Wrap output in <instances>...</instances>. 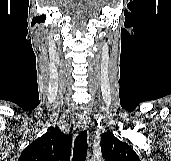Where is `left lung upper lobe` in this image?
Segmentation results:
<instances>
[{
	"instance_id": "left-lung-upper-lobe-1",
	"label": "left lung upper lobe",
	"mask_w": 171,
	"mask_h": 161,
	"mask_svg": "<svg viewBox=\"0 0 171 161\" xmlns=\"http://www.w3.org/2000/svg\"><path fill=\"white\" fill-rule=\"evenodd\" d=\"M100 144L105 161H140L135 151L127 143L118 140L112 132L104 133Z\"/></svg>"
}]
</instances>
